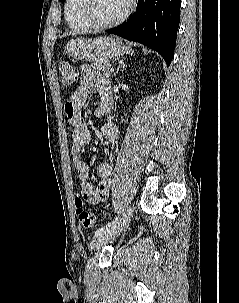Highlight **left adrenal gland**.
I'll return each instance as SVG.
<instances>
[{"label": "left adrenal gland", "instance_id": "left-adrenal-gland-1", "mask_svg": "<svg viewBox=\"0 0 239 303\" xmlns=\"http://www.w3.org/2000/svg\"><path fill=\"white\" fill-rule=\"evenodd\" d=\"M126 67H127V65L123 62V60H120L119 65H118L116 71L114 72L113 76H115L121 68L124 69Z\"/></svg>", "mask_w": 239, "mask_h": 303}]
</instances>
